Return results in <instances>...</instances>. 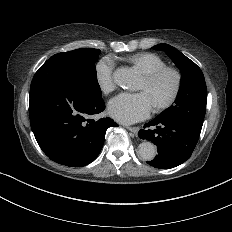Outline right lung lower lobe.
Returning a JSON list of instances; mask_svg holds the SVG:
<instances>
[{
	"instance_id": "obj_1",
	"label": "right lung lower lobe",
	"mask_w": 232,
	"mask_h": 232,
	"mask_svg": "<svg viewBox=\"0 0 232 232\" xmlns=\"http://www.w3.org/2000/svg\"><path fill=\"white\" fill-rule=\"evenodd\" d=\"M105 108L102 96H94L74 66L46 61L33 77L29 115L32 131L43 152L69 167L91 163L100 153L109 117L89 119Z\"/></svg>"
}]
</instances>
